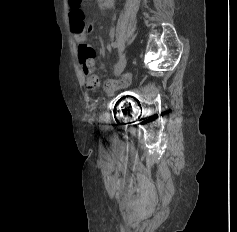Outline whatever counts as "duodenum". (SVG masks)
I'll list each match as a JSON object with an SVG mask.
<instances>
[{
    "label": "duodenum",
    "mask_w": 237,
    "mask_h": 232,
    "mask_svg": "<svg viewBox=\"0 0 237 232\" xmlns=\"http://www.w3.org/2000/svg\"><path fill=\"white\" fill-rule=\"evenodd\" d=\"M99 2L103 7L107 8L114 3V0H99Z\"/></svg>",
    "instance_id": "obj_1"
}]
</instances>
